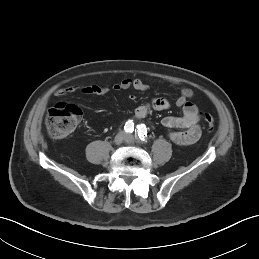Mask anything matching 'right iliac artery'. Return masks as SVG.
<instances>
[{
    "label": "right iliac artery",
    "instance_id": "82829eb1",
    "mask_svg": "<svg viewBox=\"0 0 259 259\" xmlns=\"http://www.w3.org/2000/svg\"><path fill=\"white\" fill-rule=\"evenodd\" d=\"M124 130L126 132H130L132 133L134 131V123L132 120H128L126 123H125V126H124Z\"/></svg>",
    "mask_w": 259,
    "mask_h": 259
}]
</instances>
